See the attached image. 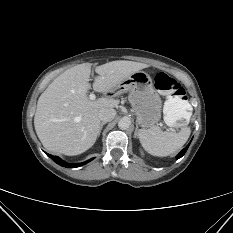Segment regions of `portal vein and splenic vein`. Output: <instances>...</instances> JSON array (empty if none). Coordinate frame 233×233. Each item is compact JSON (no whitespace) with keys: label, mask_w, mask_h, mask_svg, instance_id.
Segmentation results:
<instances>
[{"label":"portal vein and splenic vein","mask_w":233,"mask_h":233,"mask_svg":"<svg viewBox=\"0 0 233 233\" xmlns=\"http://www.w3.org/2000/svg\"><path fill=\"white\" fill-rule=\"evenodd\" d=\"M89 98H90L91 100H95V99H96V95H95L94 93H91V94L89 95Z\"/></svg>","instance_id":"18ae733b"}]
</instances>
